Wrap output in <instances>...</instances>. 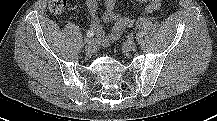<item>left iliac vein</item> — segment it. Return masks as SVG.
<instances>
[{"mask_svg": "<svg viewBox=\"0 0 217 121\" xmlns=\"http://www.w3.org/2000/svg\"><path fill=\"white\" fill-rule=\"evenodd\" d=\"M136 48V44L133 40H127L123 43V49L125 51H133Z\"/></svg>", "mask_w": 217, "mask_h": 121, "instance_id": "4c4485c4", "label": "left iliac vein"}]
</instances>
